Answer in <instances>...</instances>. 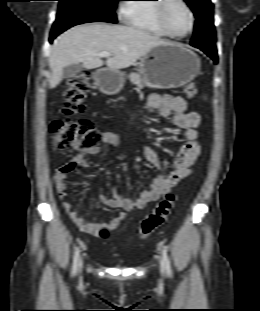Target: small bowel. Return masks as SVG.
I'll list each match as a JSON object with an SVG mask.
<instances>
[{
    "mask_svg": "<svg viewBox=\"0 0 260 311\" xmlns=\"http://www.w3.org/2000/svg\"><path fill=\"white\" fill-rule=\"evenodd\" d=\"M147 105L150 113L157 114L160 119L171 117L172 124L184 130L185 142L178 152L174 169L168 175H156L149 189L143 190L136 199L125 198L116 189H112L113 196L111 198L99 196L98 200L102 204L111 208H120L121 211L107 223H90L80 216L73 209V205L67 201L69 195L66 191V180L77 168L90 167L85 158L86 155H98L101 149L96 146L86 151H79L76 156L56 169L53 180L58 197L63 201V209L81 231L97 234L101 227H105L109 231L115 230L128 217L129 212L141 209L148 203L157 200L160 196L168 193L181 179L188 176L192 165L200 155L201 147L197 130L200 115L197 112L188 111L187 102L184 98L153 93L149 96ZM101 139L104 144L110 146H118L122 143L121 138L110 131L102 132ZM142 151L149 163L157 168L160 167L158 156L150 147L144 145Z\"/></svg>",
    "mask_w": 260,
    "mask_h": 311,
    "instance_id": "obj_1",
    "label": "small bowel"
}]
</instances>
